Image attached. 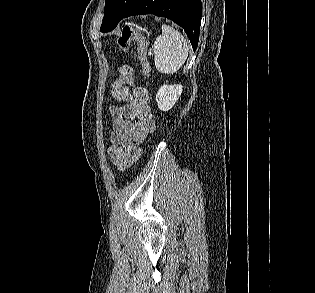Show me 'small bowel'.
<instances>
[{
    "mask_svg": "<svg viewBox=\"0 0 315 293\" xmlns=\"http://www.w3.org/2000/svg\"><path fill=\"white\" fill-rule=\"evenodd\" d=\"M112 96L121 105L109 108L112 130L108 154L121 167L136 151L137 145L155 129L156 123L144 88L132 89V85H125V91L112 93Z\"/></svg>",
    "mask_w": 315,
    "mask_h": 293,
    "instance_id": "c3829d8e",
    "label": "small bowel"
}]
</instances>
